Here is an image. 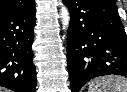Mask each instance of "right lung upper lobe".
<instances>
[{"mask_svg": "<svg viewBox=\"0 0 127 92\" xmlns=\"http://www.w3.org/2000/svg\"><path fill=\"white\" fill-rule=\"evenodd\" d=\"M34 0H0V15L29 8Z\"/></svg>", "mask_w": 127, "mask_h": 92, "instance_id": "1", "label": "right lung upper lobe"}]
</instances>
